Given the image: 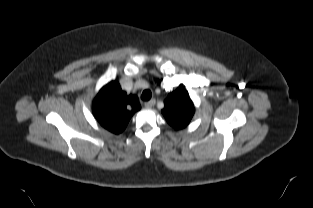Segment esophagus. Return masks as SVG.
<instances>
[{
	"mask_svg": "<svg viewBox=\"0 0 313 208\" xmlns=\"http://www.w3.org/2000/svg\"><path fill=\"white\" fill-rule=\"evenodd\" d=\"M155 99H151L150 101L145 102V106L147 108H152L155 105Z\"/></svg>",
	"mask_w": 313,
	"mask_h": 208,
	"instance_id": "1",
	"label": "esophagus"
}]
</instances>
